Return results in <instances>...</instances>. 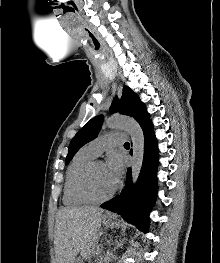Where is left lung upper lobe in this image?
<instances>
[{
    "instance_id": "obj_1",
    "label": "left lung upper lobe",
    "mask_w": 220,
    "mask_h": 263,
    "mask_svg": "<svg viewBox=\"0 0 220 263\" xmlns=\"http://www.w3.org/2000/svg\"><path fill=\"white\" fill-rule=\"evenodd\" d=\"M120 112L137 120L142 129L151 123L150 115L147 113L145 105L141 102L138 95L128 86H124L121 99L116 96L110 107V113ZM104 117L103 115L92 118L82 127L73 137L69 145V152L65 163L68 164L75 153L87 142L97 137Z\"/></svg>"
}]
</instances>
